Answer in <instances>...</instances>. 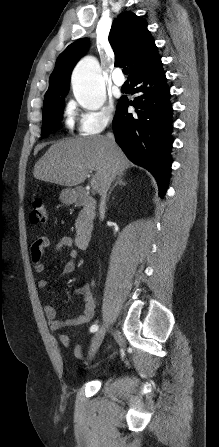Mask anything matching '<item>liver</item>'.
<instances>
[{
	"label": "liver",
	"mask_w": 219,
	"mask_h": 447,
	"mask_svg": "<svg viewBox=\"0 0 219 447\" xmlns=\"http://www.w3.org/2000/svg\"><path fill=\"white\" fill-rule=\"evenodd\" d=\"M131 163L114 142L98 135L59 141L37 161L33 175L36 179L62 186L83 183L89 170H94L101 193L107 176L115 171L123 174Z\"/></svg>",
	"instance_id": "liver-1"
}]
</instances>
